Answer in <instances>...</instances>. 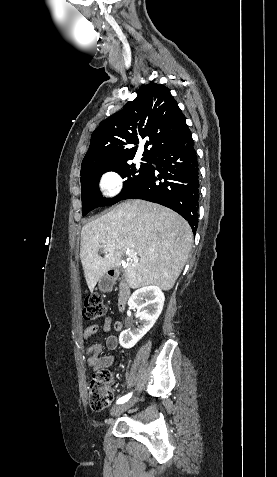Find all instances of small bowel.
Listing matches in <instances>:
<instances>
[{"mask_svg": "<svg viewBox=\"0 0 277 477\" xmlns=\"http://www.w3.org/2000/svg\"><path fill=\"white\" fill-rule=\"evenodd\" d=\"M122 323L120 321L113 322L111 317H106L103 323V330L110 332L113 328L115 331L122 330ZM98 326L93 325L87 327L83 332V338L90 340V338L97 332ZM105 346L108 350L114 351L118 347V338L115 335H108L105 340ZM103 346L100 343L91 344L86 351L88 366L92 369L93 374L105 370L114 362L113 355H102Z\"/></svg>", "mask_w": 277, "mask_h": 477, "instance_id": "obj_1", "label": "small bowel"}]
</instances>
